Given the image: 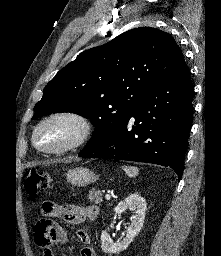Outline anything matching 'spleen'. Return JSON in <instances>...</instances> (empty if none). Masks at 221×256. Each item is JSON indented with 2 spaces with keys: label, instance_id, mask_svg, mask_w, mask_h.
I'll list each match as a JSON object with an SVG mask.
<instances>
[{
  "label": "spleen",
  "instance_id": "3e777b00",
  "mask_svg": "<svg viewBox=\"0 0 221 256\" xmlns=\"http://www.w3.org/2000/svg\"><path fill=\"white\" fill-rule=\"evenodd\" d=\"M123 170L129 177H135L138 175L139 170L137 167L134 166H124Z\"/></svg>",
  "mask_w": 221,
  "mask_h": 256
}]
</instances>
